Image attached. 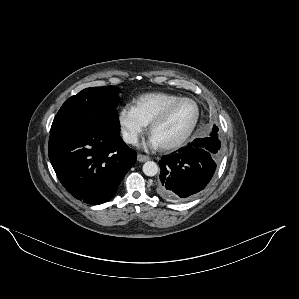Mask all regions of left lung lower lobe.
Segmentation results:
<instances>
[{"label": "left lung lower lobe", "mask_w": 299, "mask_h": 299, "mask_svg": "<svg viewBox=\"0 0 299 299\" xmlns=\"http://www.w3.org/2000/svg\"><path fill=\"white\" fill-rule=\"evenodd\" d=\"M220 152L209 137L195 139L159 161L157 193L170 202H184L198 195L211 181Z\"/></svg>", "instance_id": "1"}]
</instances>
